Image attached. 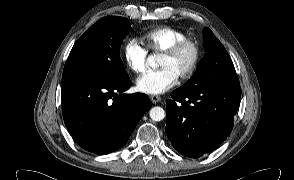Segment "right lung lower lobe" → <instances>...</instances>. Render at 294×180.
I'll use <instances>...</instances> for the list:
<instances>
[{
	"label": "right lung lower lobe",
	"instance_id": "obj_1",
	"mask_svg": "<svg viewBox=\"0 0 294 180\" xmlns=\"http://www.w3.org/2000/svg\"><path fill=\"white\" fill-rule=\"evenodd\" d=\"M130 85L129 78L123 81L79 78L62 83L64 122L82 148L107 154L126 144L152 106L145 94H125Z\"/></svg>",
	"mask_w": 294,
	"mask_h": 180
}]
</instances>
